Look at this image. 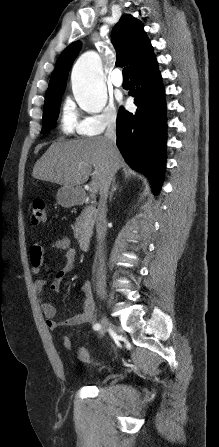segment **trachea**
Segmentation results:
<instances>
[{"instance_id": "3493384b", "label": "trachea", "mask_w": 219, "mask_h": 447, "mask_svg": "<svg viewBox=\"0 0 219 447\" xmlns=\"http://www.w3.org/2000/svg\"><path fill=\"white\" fill-rule=\"evenodd\" d=\"M123 76L124 78H129V67L123 69Z\"/></svg>"}]
</instances>
